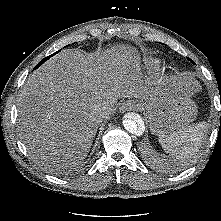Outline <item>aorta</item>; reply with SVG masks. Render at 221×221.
<instances>
[{"instance_id":"obj_1","label":"aorta","mask_w":221,"mask_h":221,"mask_svg":"<svg viewBox=\"0 0 221 221\" xmlns=\"http://www.w3.org/2000/svg\"><path fill=\"white\" fill-rule=\"evenodd\" d=\"M123 126L131 134H141L144 131V123L136 114L127 115L123 120Z\"/></svg>"}]
</instances>
